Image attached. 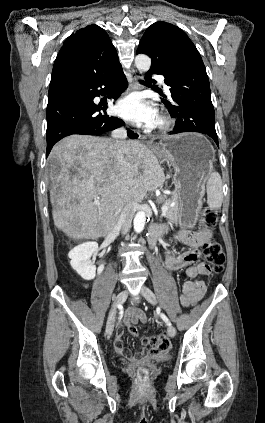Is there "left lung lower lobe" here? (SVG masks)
<instances>
[{"instance_id":"0a47b994","label":"left lung lower lobe","mask_w":265,"mask_h":423,"mask_svg":"<svg viewBox=\"0 0 265 423\" xmlns=\"http://www.w3.org/2000/svg\"><path fill=\"white\" fill-rule=\"evenodd\" d=\"M153 73L163 75L171 87V97L162 98L169 113L177 118L170 134L199 132L210 136L218 145L209 79L201 56L190 55L166 70H149L146 80L155 83L150 77Z\"/></svg>"}]
</instances>
